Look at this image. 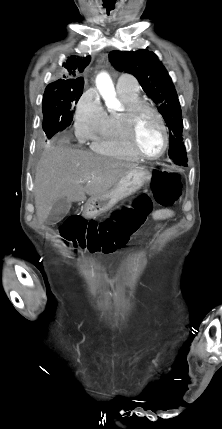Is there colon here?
<instances>
[{
	"instance_id": "obj_1",
	"label": "colon",
	"mask_w": 222,
	"mask_h": 429,
	"mask_svg": "<svg viewBox=\"0 0 222 429\" xmlns=\"http://www.w3.org/2000/svg\"><path fill=\"white\" fill-rule=\"evenodd\" d=\"M151 190L157 204L168 207L181 197V180L176 172L155 169L152 172ZM152 211V201L142 194L128 207L115 211L102 222L71 216L61 226L63 238L75 248L91 252L110 253L125 246Z\"/></svg>"
}]
</instances>
